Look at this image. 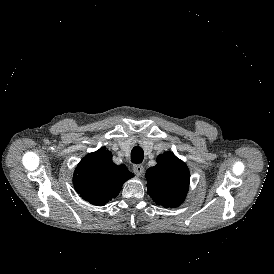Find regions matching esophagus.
<instances>
[{"label": "esophagus", "instance_id": "esophagus-1", "mask_svg": "<svg viewBox=\"0 0 274 274\" xmlns=\"http://www.w3.org/2000/svg\"><path fill=\"white\" fill-rule=\"evenodd\" d=\"M132 169L137 176H141L144 173V167L142 164H134Z\"/></svg>", "mask_w": 274, "mask_h": 274}]
</instances>
